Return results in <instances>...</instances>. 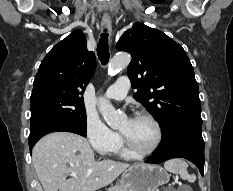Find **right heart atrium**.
I'll return each instance as SVG.
<instances>
[{
    "label": "right heart atrium",
    "instance_id": "d8ad5b80",
    "mask_svg": "<svg viewBox=\"0 0 233 191\" xmlns=\"http://www.w3.org/2000/svg\"><path fill=\"white\" fill-rule=\"evenodd\" d=\"M86 135L93 149L100 155H108L121 143L120 135L108 128L99 118H86Z\"/></svg>",
    "mask_w": 233,
    "mask_h": 191
}]
</instances>
